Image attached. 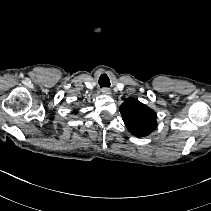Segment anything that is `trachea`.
<instances>
[{
  "label": "trachea",
  "mask_w": 211,
  "mask_h": 211,
  "mask_svg": "<svg viewBox=\"0 0 211 211\" xmlns=\"http://www.w3.org/2000/svg\"><path fill=\"white\" fill-rule=\"evenodd\" d=\"M99 84L101 87H109L110 86L109 80H106V81L101 80V81H99Z\"/></svg>",
  "instance_id": "trachea-1"
}]
</instances>
